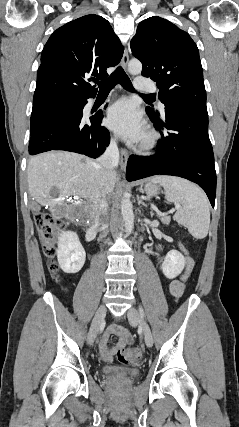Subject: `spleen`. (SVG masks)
Masks as SVG:
<instances>
[{
  "label": "spleen",
  "mask_w": 239,
  "mask_h": 427,
  "mask_svg": "<svg viewBox=\"0 0 239 427\" xmlns=\"http://www.w3.org/2000/svg\"><path fill=\"white\" fill-rule=\"evenodd\" d=\"M153 183L165 189V198L178 206L175 220L185 226L197 239L207 236L210 225L209 202L205 193L195 184L174 176H154Z\"/></svg>",
  "instance_id": "1"
}]
</instances>
